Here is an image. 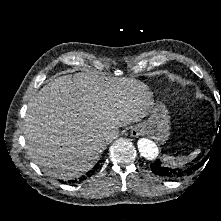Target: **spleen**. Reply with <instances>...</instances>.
<instances>
[{"label":"spleen","mask_w":221,"mask_h":221,"mask_svg":"<svg viewBox=\"0 0 221 221\" xmlns=\"http://www.w3.org/2000/svg\"><path fill=\"white\" fill-rule=\"evenodd\" d=\"M199 153H200V150L197 149L187 157H184V156L173 157V156L164 155L163 159L166 162V164L169 166H181V165L191 161L192 159H194Z\"/></svg>","instance_id":"1"}]
</instances>
